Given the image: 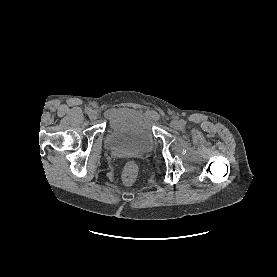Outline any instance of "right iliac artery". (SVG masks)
Segmentation results:
<instances>
[{
  "mask_svg": "<svg viewBox=\"0 0 277 277\" xmlns=\"http://www.w3.org/2000/svg\"><path fill=\"white\" fill-rule=\"evenodd\" d=\"M91 111H92L91 108H88V107H87V108L85 109V112H86L87 114H89Z\"/></svg>",
  "mask_w": 277,
  "mask_h": 277,
  "instance_id": "82829eb1",
  "label": "right iliac artery"
}]
</instances>
